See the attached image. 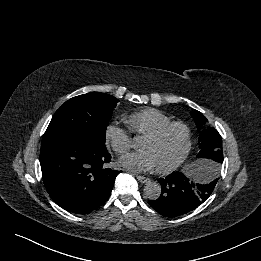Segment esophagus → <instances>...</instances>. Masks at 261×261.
I'll return each instance as SVG.
<instances>
[{"instance_id": "34e87169", "label": "esophagus", "mask_w": 261, "mask_h": 261, "mask_svg": "<svg viewBox=\"0 0 261 261\" xmlns=\"http://www.w3.org/2000/svg\"><path fill=\"white\" fill-rule=\"evenodd\" d=\"M136 178L138 179V181H140L141 183H149L150 179L141 175H136Z\"/></svg>"}]
</instances>
